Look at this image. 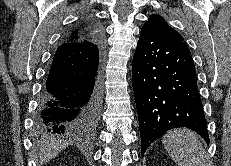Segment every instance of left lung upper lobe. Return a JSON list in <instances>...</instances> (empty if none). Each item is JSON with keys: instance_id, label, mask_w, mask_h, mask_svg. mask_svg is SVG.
Listing matches in <instances>:
<instances>
[{"instance_id": "obj_1", "label": "left lung upper lobe", "mask_w": 231, "mask_h": 166, "mask_svg": "<svg viewBox=\"0 0 231 166\" xmlns=\"http://www.w3.org/2000/svg\"><path fill=\"white\" fill-rule=\"evenodd\" d=\"M142 28L150 30L152 33L165 40L185 44L183 37L173 28L169 27L165 19L160 15L152 14Z\"/></svg>"}]
</instances>
